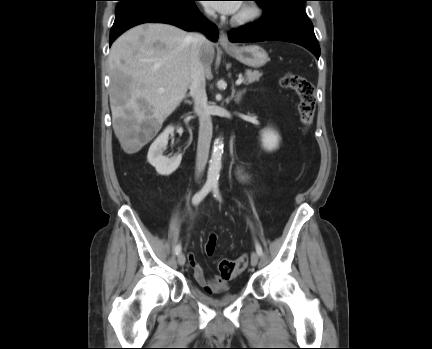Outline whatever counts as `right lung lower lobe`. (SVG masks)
<instances>
[{
	"label": "right lung lower lobe",
	"instance_id": "98d812e1",
	"mask_svg": "<svg viewBox=\"0 0 432 349\" xmlns=\"http://www.w3.org/2000/svg\"><path fill=\"white\" fill-rule=\"evenodd\" d=\"M197 0H127L116 9L109 45L129 28L142 23H166L184 30H203L216 41L218 29L209 23L195 5Z\"/></svg>",
	"mask_w": 432,
	"mask_h": 349
}]
</instances>
